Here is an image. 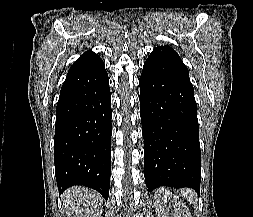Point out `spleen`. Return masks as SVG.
Segmentation results:
<instances>
[{
  "instance_id": "3e777b00",
  "label": "spleen",
  "mask_w": 253,
  "mask_h": 217,
  "mask_svg": "<svg viewBox=\"0 0 253 217\" xmlns=\"http://www.w3.org/2000/svg\"><path fill=\"white\" fill-rule=\"evenodd\" d=\"M185 195L188 196V200H189L191 203L194 202V200H193L194 195H193L191 192H189L188 190H186Z\"/></svg>"
}]
</instances>
